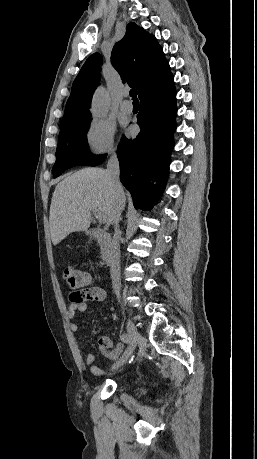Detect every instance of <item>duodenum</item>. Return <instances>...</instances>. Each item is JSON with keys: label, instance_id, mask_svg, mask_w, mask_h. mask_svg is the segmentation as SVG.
Listing matches in <instances>:
<instances>
[{"label": "duodenum", "instance_id": "duodenum-1", "mask_svg": "<svg viewBox=\"0 0 257 459\" xmlns=\"http://www.w3.org/2000/svg\"><path fill=\"white\" fill-rule=\"evenodd\" d=\"M87 234L98 239V243L101 249V261L103 264L108 265L112 254L114 243L113 238L100 229H91L87 231Z\"/></svg>", "mask_w": 257, "mask_h": 459}]
</instances>
